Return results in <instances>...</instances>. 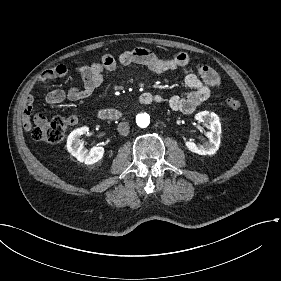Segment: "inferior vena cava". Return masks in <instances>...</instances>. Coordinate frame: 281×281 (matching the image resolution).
<instances>
[{
    "label": "inferior vena cava",
    "instance_id": "602c4592",
    "mask_svg": "<svg viewBox=\"0 0 281 281\" xmlns=\"http://www.w3.org/2000/svg\"><path fill=\"white\" fill-rule=\"evenodd\" d=\"M129 128V124L126 122H121L117 126V130L122 136H127L129 134Z\"/></svg>",
    "mask_w": 281,
    "mask_h": 281
}]
</instances>
